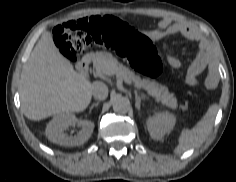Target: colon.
Returning a JSON list of instances; mask_svg holds the SVG:
<instances>
[{
  "label": "colon",
  "instance_id": "1",
  "mask_svg": "<svg viewBox=\"0 0 236 182\" xmlns=\"http://www.w3.org/2000/svg\"><path fill=\"white\" fill-rule=\"evenodd\" d=\"M54 39L62 54L71 61L91 46H105L124 57L139 73L156 78L161 60L148 37L113 16L71 20L55 27Z\"/></svg>",
  "mask_w": 236,
  "mask_h": 182
}]
</instances>
